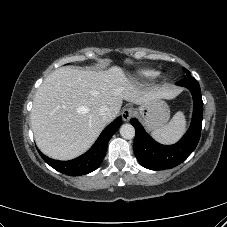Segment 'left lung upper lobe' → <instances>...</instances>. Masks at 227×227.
Listing matches in <instances>:
<instances>
[{
  "instance_id": "left-lung-upper-lobe-1",
  "label": "left lung upper lobe",
  "mask_w": 227,
  "mask_h": 227,
  "mask_svg": "<svg viewBox=\"0 0 227 227\" xmlns=\"http://www.w3.org/2000/svg\"><path fill=\"white\" fill-rule=\"evenodd\" d=\"M183 69H184L185 73L187 74V76H189L190 72L186 68H183Z\"/></svg>"
}]
</instances>
